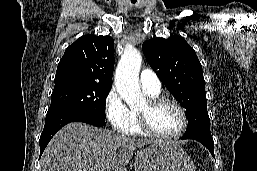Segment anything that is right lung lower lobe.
<instances>
[{"instance_id":"right-lung-lower-lobe-1","label":"right lung lower lobe","mask_w":257,"mask_h":171,"mask_svg":"<svg viewBox=\"0 0 257 171\" xmlns=\"http://www.w3.org/2000/svg\"><path fill=\"white\" fill-rule=\"evenodd\" d=\"M104 120L105 119L99 118L90 113L75 109H65L47 113L44 129L39 140L40 157L51 138L64 125L70 122L79 121L91 124L93 126L102 127L106 125Z\"/></svg>"}]
</instances>
